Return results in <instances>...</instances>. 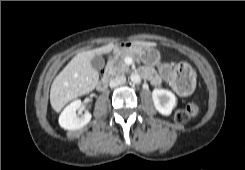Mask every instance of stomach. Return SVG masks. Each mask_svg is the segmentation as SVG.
I'll return each mask as SVG.
<instances>
[{
  "label": "stomach",
  "mask_w": 245,
  "mask_h": 170,
  "mask_svg": "<svg viewBox=\"0 0 245 170\" xmlns=\"http://www.w3.org/2000/svg\"><path fill=\"white\" fill-rule=\"evenodd\" d=\"M127 51L138 57L143 63L149 66H158L160 64V53L153 47H142L137 44L131 43L130 45L119 46L116 52ZM176 72L181 71V76L185 80L190 81V89L187 91L182 90L183 93L189 94L194 90L195 78L192 70L188 66L176 67Z\"/></svg>",
  "instance_id": "0dacf381"
}]
</instances>
